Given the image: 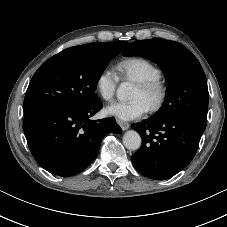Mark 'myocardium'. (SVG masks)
Masks as SVG:
<instances>
[{
    "label": "myocardium",
    "mask_w": 227,
    "mask_h": 227,
    "mask_svg": "<svg viewBox=\"0 0 227 227\" xmlns=\"http://www.w3.org/2000/svg\"><path fill=\"white\" fill-rule=\"evenodd\" d=\"M145 95L149 98L148 110L156 112L164 105L168 88L166 83L159 77L137 82Z\"/></svg>",
    "instance_id": "f54148a6"
}]
</instances>
